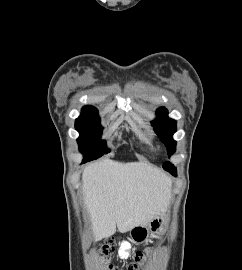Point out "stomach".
I'll use <instances>...</instances> for the list:
<instances>
[{"label": "stomach", "instance_id": "obj_1", "mask_svg": "<svg viewBox=\"0 0 242 270\" xmlns=\"http://www.w3.org/2000/svg\"><path fill=\"white\" fill-rule=\"evenodd\" d=\"M168 216L162 212L155 216L148 225H136L130 229V239L135 244L146 242L151 235L159 236L164 233L167 227Z\"/></svg>", "mask_w": 242, "mask_h": 270}]
</instances>
